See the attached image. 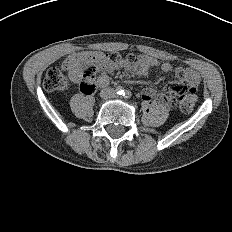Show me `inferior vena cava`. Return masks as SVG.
I'll return each mask as SVG.
<instances>
[{
  "instance_id": "inferior-vena-cava-1",
  "label": "inferior vena cava",
  "mask_w": 232,
  "mask_h": 232,
  "mask_svg": "<svg viewBox=\"0 0 232 232\" xmlns=\"http://www.w3.org/2000/svg\"><path fill=\"white\" fill-rule=\"evenodd\" d=\"M105 90L108 91V92H110V95L104 94L106 98H107V97L109 98V97H112V96L115 95L114 90H112V89H110V88H107V89H105Z\"/></svg>"
}]
</instances>
